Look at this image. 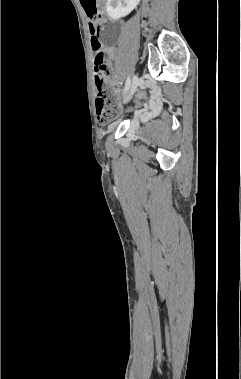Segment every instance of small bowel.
<instances>
[{"mask_svg": "<svg viewBox=\"0 0 241 379\" xmlns=\"http://www.w3.org/2000/svg\"><path fill=\"white\" fill-rule=\"evenodd\" d=\"M106 81L110 83L116 90H119V84L111 78H107Z\"/></svg>", "mask_w": 241, "mask_h": 379, "instance_id": "1", "label": "small bowel"}]
</instances>
